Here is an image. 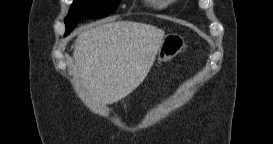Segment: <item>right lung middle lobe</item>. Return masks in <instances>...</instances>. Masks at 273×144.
<instances>
[{"mask_svg":"<svg viewBox=\"0 0 273 144\" xmlns=\"http://www.w3.org/2000/svg\"><path fill=\"white\" fill-rule=\"evenodd\" d=\"M120 0H74L68 15L65 17L66 32L68 35L76 23L83 18H101L114 12Z\"/></svg>","mask_w":273,"mask_h":144,"instance_id":"right-lung-middle-lobe-1","label":"right lung middle lobe"}]
</instances>
